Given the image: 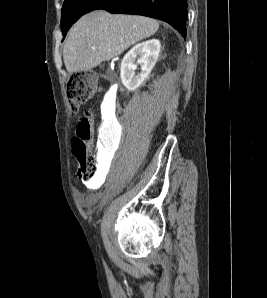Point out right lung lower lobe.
Masks as SVG:
<instances>
[{"label": "right lung lower lobe", "mask_w": 267, "mask_h": 298, "mask_svg": "<svg viewBox=\"0 0 267 298\" xmlns=\"http://www.w3.org/2000/svg\"><path fill=\"white\" fill-rule=\"evenodd\" d=\"M143 15L163 20L186 37L187 0H97L90 11Z\"/></svg>", "instance_id": "obj_1"}]
</instances>
